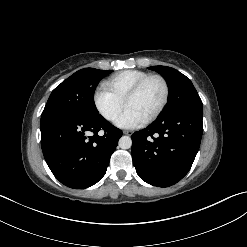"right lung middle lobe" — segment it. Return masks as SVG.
Wrapping results in <instances>:
<instances>
[{"mask_svg":"<svg viewBox=\"0 0 247 247\" xmlns=\"http://www.w3.org/2000/svg\"><path fill=\"white\" fill-rule=\"evenodd\" d=\"M111 72L94 68L75 72L52 91L42 115L57 111L88 117L99 115L94 103V92L99 81Z\"/></svg>","mask_w":247,"mask_h":247,"instance_id":"dd1d6c3e","label":"right lung middle lobe"}]
</instances>
